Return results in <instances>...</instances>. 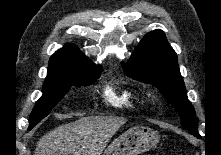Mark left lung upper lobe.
Here are the masks:
<instances>
[{"label": "left lung upper lobe", "instance_id": "left-lung-upper-lobe-1", "mask_svg": "<svg viewBox=\"0 0 221 155\" xmlns=\"http://www.w3.org/2000/svg\"><path fill=\"white\" fill-rule=\"evenodd\" d=\"M124 72L131 78L151 83L179 113L181 124L192 134L196 128L195 110L187 99L177 55L161 30H154L142 39Z\"/></svg>", "mask_w": 221, "mask_h": 155}]
</instances>
